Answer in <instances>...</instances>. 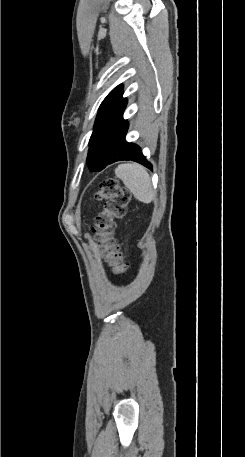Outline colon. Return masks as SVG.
Listing matches in <instances>:
<instances>
[{"label":"colon","instance_id":"1","mask_svg":"<svg viewBox=\"0 0 245 457\" xmlns=\"http://www.w3.org/2000/svg\"><path fill=\"white\" fill-rule=\"evenodd\" d=\"M95 198L103 201L102 211L95 220L94 232L98 244L107 252L108 262L116 274L128 270L120 246L114 238V221L122 219L127 212L130 193L121 187L115 178H106L100 185Z\"/></svg>","mask_w":245,"mask_h":457}]
</instances>
